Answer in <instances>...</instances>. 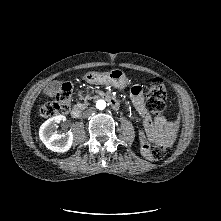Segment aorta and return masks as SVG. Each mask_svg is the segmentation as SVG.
Listing matches in <instances>:
<instances>
[{
    "instance_id": "1",
    "label": "aorta",
    "mask_w": 221,
    "mask_h": 221,
    "mask_svg": "<svg viewBox=\"0 0 221 221\" xmlns=\"http://www.w3.org/2000/svg\"><path fill=\"white\" fill-rule=\"evenodd\" d=\"M105 107H106V102H105V100H102V99L97 100V102H96V108H97V109L103 110V109H105Z\"/></svg>"
}]
</instances>
